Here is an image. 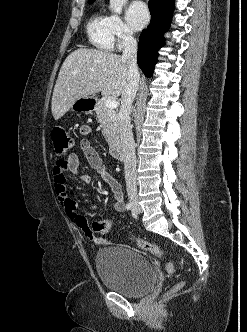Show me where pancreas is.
I'll return each instance as SVG.
<instances>
[{"mask_svg":"<svg viewBox=\"0 0 247 332\" xmlns=\"http://www.w3.org/2000/svg\"><path fill=\"white\" fill-rule=\"evenodd\" d=\"M95 112L106 141L112 146L119 144V125L116 112L107 108L105 101L97 103Z\"/></svg>","mask_w":247,"mask_h":332,"instance_id":"1","label":"pancreas"}]
</instances>
